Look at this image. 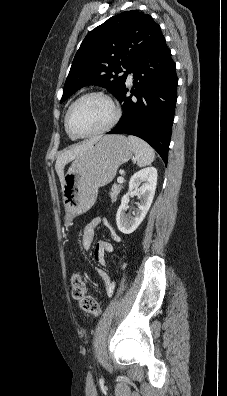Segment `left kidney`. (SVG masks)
<instances>
[{
    "label": "left kidney",
    "mask_w": 227,
    "mask_h": 396,
    "mask_svg": "<svg viewBox=\"0 0 227 396\" xmlns=\"http://www.w3.org/2000/svg\"><path fill=\"white\" fill-rule=\"evenodd\" d=\"M141 181H144L142 187L137 189ZM157 185V170L154 167L144 168L134 173L129 181V191L121 200V205L116 214V223L118 229L124 234H131L134 232L141 222L144 220L155 195ZM135 189L139 193V202L137 203V210L133 213L134 216L127 215L128 202L130 193Z\"/></svg>",
    "instance_id": "obj_1"
}]
</instances>
